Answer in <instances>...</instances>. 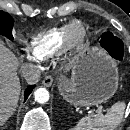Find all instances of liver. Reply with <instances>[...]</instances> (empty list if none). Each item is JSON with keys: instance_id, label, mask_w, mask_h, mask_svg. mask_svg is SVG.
Masks as SVG:
<instances>
[{"instance_id": "6515ba94", "label": "liver", "mask_w": 130, "mask_h": 130, "mask_svg": "<svg viewBox=\"0 0 130 130\" xmlns=\"http://www.w3.org/2000/svg\"><path fill=\"white\" fill-rule=\"evenodd\" d=\"M18 61L0 42V126L14 113L21 85L17 75Z\"/></svg>"}]
</instances>
